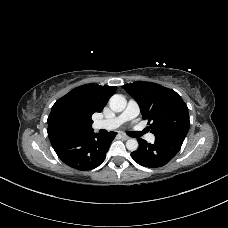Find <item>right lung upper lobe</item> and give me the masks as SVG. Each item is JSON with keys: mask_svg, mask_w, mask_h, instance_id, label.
<instances>
[{"mask_svg": "<svg viewBox=\"0 0 228 228\" xmlns=\"http://www.w3.org/2000/svg\"><path fill=\"white\" fill-rule=\"evenodd\" d=\"M115 91V86L86 84L58 99L47 119L49 139L92 132V114L101 112Z\"/></svg>", "mask_w": 228, "mask_h": 228, "instance_id": "1", "label": "right lung upper lobe"}]
</instances>
